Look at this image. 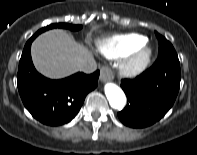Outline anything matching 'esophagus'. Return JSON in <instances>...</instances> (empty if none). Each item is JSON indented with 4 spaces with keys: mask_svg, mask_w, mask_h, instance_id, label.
<instances>
[{
    "mask_svg": "<svg viewBox=\"0 0 197 155\" xmlns=\"http://www.w3.org/2000/svg\"><path fill=\"white\" fill-rule=\"evenodd\" d=\"M114 78V73L108 67H102L100 69L101 82H109Z\"/></svg>",
    "mask_w": 197,
    "mask_h": 155,
    "instance_id": "1",
    "label": "esophagus"
}]
</instances>
